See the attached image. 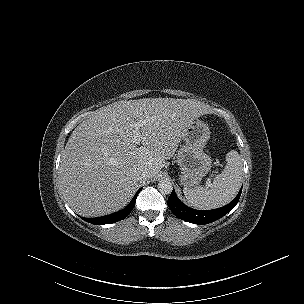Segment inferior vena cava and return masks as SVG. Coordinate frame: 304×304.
Segmentation results:
<instances>
[{
	"mask_svg": "<svg viewBox=\"0 0 304 304\" xmlns=\"http://www.w3.org/2000/svg\"><path fill=\"white\" fill-rule=\"evenodd\" d=\"M136 175H137L138 179L141 181L149 179V176H150L148 171H146L144 169H138L136 171Z\"/></svg>",
	"mask_w": 304,
	"mask_h": 304,
	"instance_id": "1",
	"label": "inferior vena cava"
}]
</instances>
